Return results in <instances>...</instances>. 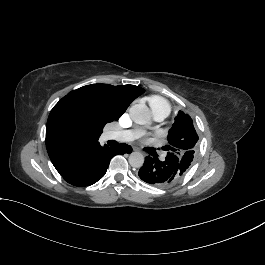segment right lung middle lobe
Listing matches in <instances>:
<instances>
[{
  "label": "right lung middle lobe",
  "mask_w": 265,
  "mask_h": 265,
  "mask_svg": "<svg viewBox=\"0 0 265 265\" xmlns=\"http://www.w3.org/2000/svg\"><path fill=\"white\" fill-rule=\"evenodd\" d=\"M121 115H122L121 113L115 114V115L113 116V119L110 120V121L117 120Z\"/></svg>",
  "instance_id": "obj_1"
}]
</instances>
